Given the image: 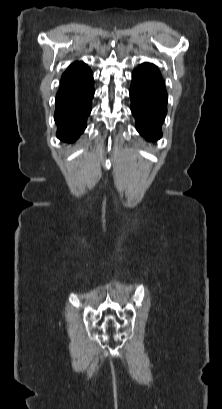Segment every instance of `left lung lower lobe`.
<instances>
[{"label": "left lung lower lobe", "mask_w": 222, "mask_h": 409, "mask_svg": "<svg viewBox=\"0 0 222 409\" xmlns=\"http://www.w3.org/2000/svg\"><path fill=\"white\" fill-rule=\"evenodd\" d=\"M131 111L138 132L147 140H158L167 113V92L161 75L135 69L130 88Z\"/></svg>", "instance_id": "0a47b994"}]
</instances>
